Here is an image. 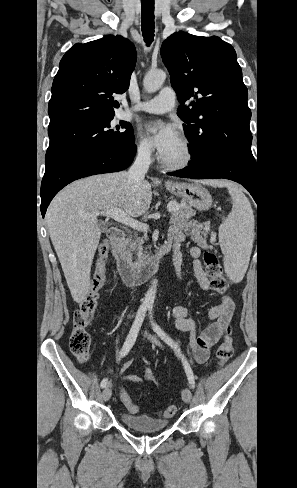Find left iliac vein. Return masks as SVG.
I'll return each instance as SVG.
<instances>
[{"label": "left iliac vein", "instance_id": "left-iliac-vein-1", "mask_svg": "<svg viewBox=\"0 0 297 488\" xmlns=\"http://www.w3.org/2000/svg\"><path fill=\"white\" fill-rule=\"evenodd\" d=\"M144 336L147 337L151 342L156 343L157 345H160V343L150 334L144 333ZM182 399L185 403H190L192 399V393L189 388H185L182 391Z\"/></svg>", "mask_w": 297, "mask_h": 488}]
</instances>
